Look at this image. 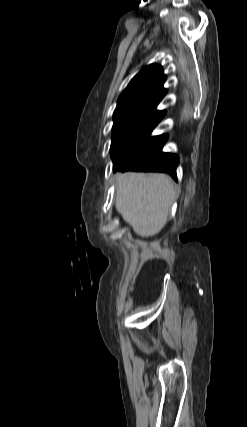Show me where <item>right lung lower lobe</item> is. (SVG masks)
<instances>
[{
  "label": "right lung lower lobe",
  "instance_id": "98d812e1",
  "mask_svg": "<svg viewBox=\"0 0 247 427\" xmlns=\"http://www.w3.org/2000/svg\"><path fill=\"white\" fill-rule=\"evenodd\" d=\"M165 111L150 114L130 133L113 157L114 171H159L176 178L177 155L163 153L167 135L151 137Z\"/></svg>",
  "mask_w": 247,
  "mask_h": 427
}]
</instances>
